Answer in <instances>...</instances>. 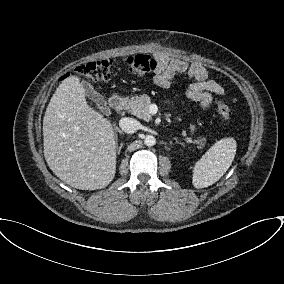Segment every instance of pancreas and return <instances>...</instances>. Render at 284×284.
<instances>
[{"mask_svg":"<svg viewBox=\"0 0 284 284\" xmlns=\"http://www.w3.org/2000/svg\"><path fill=\"white\" fill-rule=\"evenodd\" d=\"M150 105L151 99L147 94H142L131 98L127 97L125 99V109H127L128 112H130L131 114L146 121L151 120L152 117L149 109ZM185 141L187 143L198 144L199 149H202L206 144V138L203 137H200L197 140H193L190 137H186Z\"/></svg>","mask_w":284,"mask_h":284,"instance_id":"pancreas-1","label":"pancreas"}]
</instances>
